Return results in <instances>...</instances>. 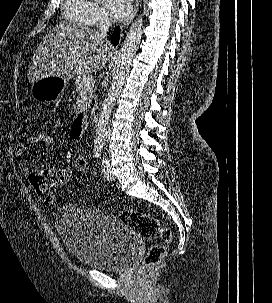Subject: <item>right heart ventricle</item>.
Instances as JSON below:
<instances>
[{"instance_id":"right-heart-ventricle-1","label":"right heart ventricle","mask_w":272,"mask_h":303,"mask_svg":"<svg viewBox=\"0 0 272 303\" xmlns=\"http://www.w3.org/2000/svg\"><path fill=\"white\" fill-rule=\"evenodd\" d=\"M63 17L72 25H91V2L89 0H64Z\"/></svg>"}]
</instances>
